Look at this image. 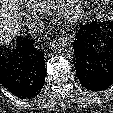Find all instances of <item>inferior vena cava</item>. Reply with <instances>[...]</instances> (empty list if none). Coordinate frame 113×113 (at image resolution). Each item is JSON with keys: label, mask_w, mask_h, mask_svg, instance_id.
<instances>
[{"label": "inferior vena cava", "mask_w": 113, "mask_h": 113, "mask_svg": "<svg viewBox=\"0 0 113 113\" xmlns=\"http://www.w3.org/2000/svg\"><path fill=\"white\" fill-rule=\"evenodd\" d=\"M28 32L32 36H37L43 33L44 31V26H43V21L42 20H33L28 24Z\"/></svg>", "instance_id": "obj_1"}]
</instances>
